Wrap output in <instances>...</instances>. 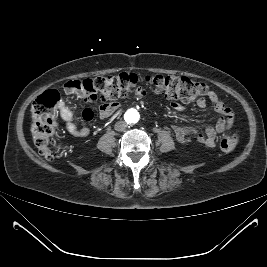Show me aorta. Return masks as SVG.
I'll list each match as a JSON object with an SVG mask.
<instances>
[{"label":"aorta","instance_id":"aorta-1","mask_svg":"<svg viewBox=\"0 0 267 267\" xmlns=\"http://www.w3.org/2000/svg\"><path fill=\"white\" fill-rule=\"evenodd\" d=\"M125 118L129 123H137L139 120V113L136 110H128Z\"/></svg>","mask_w":267,"mask_h":267}]
</instances>
